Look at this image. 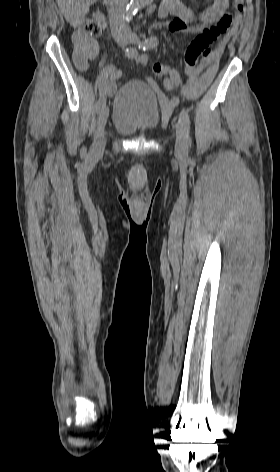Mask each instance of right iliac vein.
Returning <instances> with one entry per match:
<instances>
[{
  "instance_id": "63e3f726",
  "label": "right iliac vein",
  "mask_w": 280,
  "mask_h": 472,
  "mask_svg": "<svg viewBox=\"0 0 280 472\" xmlns=\"http://www.w3.org/2000/svg\"><path fill=\"white\" fill-rule=\"evenodd\" d=\"M128 42L127 38L123 37L119 39V43L124 46ZM109 109L104 105L98 115L97 130L94 135V141L90 150L92 157H99L102 155L105 147V125L108 119Z\"/></svg>"
}]
</instances>
